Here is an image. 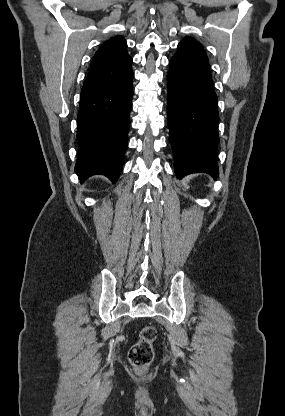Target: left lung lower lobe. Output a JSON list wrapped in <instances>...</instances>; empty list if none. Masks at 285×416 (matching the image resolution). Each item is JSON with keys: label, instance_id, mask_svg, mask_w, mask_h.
<instances>
[{"label": "left lung lower lobe", "instance_id": "0a47b994", "mask_svg": "<svg viewBox=\"0 0 285 416\" xmlns=\"http://www.w3.org/2000/svg\"><path fill=\"white\" fill-rule=\"evenodd\" d=\"M167 74L170 144L178 178L207 173L217 178L218 106L209 72L177 57Z\"/></svg>", "mask_w": 285, "mask_h": 416}]
</instances>
